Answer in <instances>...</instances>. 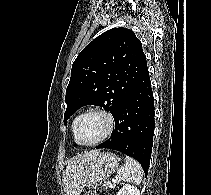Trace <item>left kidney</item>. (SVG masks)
<instances>
[{"mask_svg": "<svg viewBox=\"0 0 211 195\" xmlns=\"http://www.w3.org/2000/svg\"><path fill=\"white\" fill-rule=\"evenodd\" d=\"M116 195H141L140 191L133 185L125 184L123 187L117 192Z\"/></svg>", "mask_w": 211, "mask_h": 195, "instance_id": "1", "label": "left kidney"}]
</instances>
